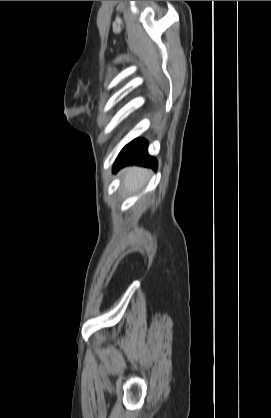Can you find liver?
Segmentation results:
<instances>
[{
	"label": "liver",
	"instance_id": "obj_1",
	"mask_svg": "<svg viewBox=\"0 0 271 418\" xmlns=\"http://www.w3.org/2000/svg\"><path fill=\"white\" fill-rule=\"evenodd\" d=\"M149 174L150 170L137 166L125 168L122 171L124 187L130 192L138 191L144 186Z\"/></svg>",
	"mask_w": 271,
	"mask_h": 418
}]
</instances>
